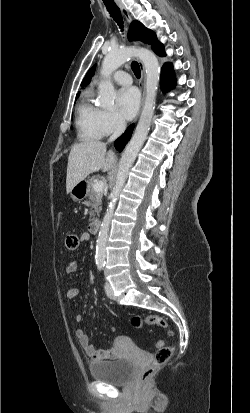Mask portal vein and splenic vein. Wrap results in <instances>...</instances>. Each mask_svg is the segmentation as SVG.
<instances>
[{"mask_svg": "<svg viewBox=\"0 0 250 413\" xmlns=\"http://www.w3.org/2000/svg\"><path fill=\"white\" fill-rule=\"evenodd\" d=\"M103 187H104V184H103V182L102 181H96L95 182V184H94V190L96 191V192H100V191H102L103 190Z\"/></svg>", "mask_w": 250, "mask_h": 413, "instance_id": "18ae733b", "label": "portal vein and splenic vein"}]
</instances>
